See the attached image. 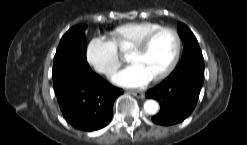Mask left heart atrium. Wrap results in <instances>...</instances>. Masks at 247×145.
<instances>
[{
  "mask_svg": "<svg viewBox=\"0 0 247 145\" xmlns=\"http://www.w3.org/2000/svg\"><path fill=\"white\" fill-rule=\"evenodd\" d=\"M152 77L140 66L132 64L117 72L113 76V81L125 87H139L147 84Z\"/></svg>",
  "mask_w": 247,
  "mask_h": 145,
  "instance_id": "39dd6f15",
  "label": "left heart atrium"
}]
</instances>
